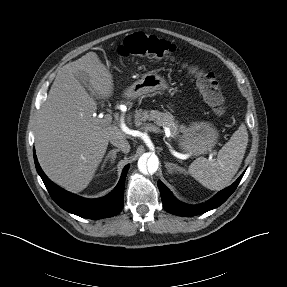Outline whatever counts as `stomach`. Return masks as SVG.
Wrapping results in <instances>:
<instances>
[{
  "label": "stomach",
  "instance_id": "stomach-1",
  "mask_svg": "<svg viewBox=\"0 0 287 287\" xmlns=\"http://www.w3.org/2000/svg\"><path fill=\"white\" fill-rule=\"evenodd\" d=\"M166 89H168V84L162 76L155 72H148L126 88L123 95L132 100L150 92ZM182 133L179 138V145L182 150L192 155L207 153L214 147L218 139L216 128L208 122L192 123Z\"/></svg>",
  "mask_w": 287,
  "mask_h": 287
}]
</instances>
